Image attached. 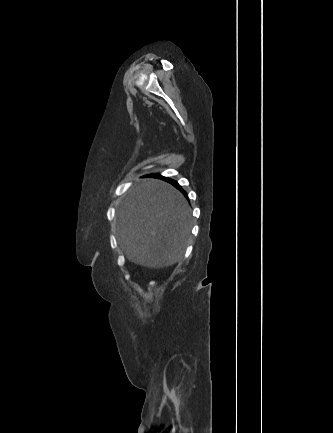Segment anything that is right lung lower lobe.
I'll use <instances>...</instances> for the list:
<instances>
[{
	"label": "right lung lower lobe",
	"instance_id": "right-lung-lower-lobe-1",
	"mask_svg": "<svg viewBox=\"0 0 333 433\" xmlns=\"http://www.w3.org/2000/svg\"><path fill=\"white\" fill-rule=\"evenodd\" d=\"M150 176L151 177H158V178H161V179H163V180L171 183L172 185H174L176 188H178L180 191H182L186 195V193L184 192V190L179 186V184L176 181H174L172 179H169V178H165V177L160 176L158 174H154V175H150Z\"/></svg>",
	"mask_w": 333,
	"mask_h": 433
}]
</instances>
